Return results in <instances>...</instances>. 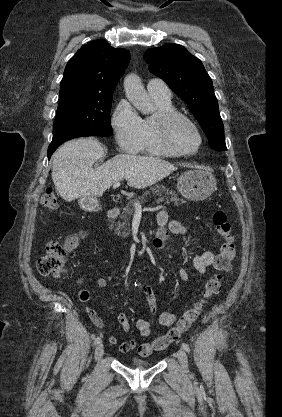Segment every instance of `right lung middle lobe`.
<instances>
[{
    "instance_id": "dd1d6c3e",
    "label": "right lung middle lobe",
    "mask_w": 282,
    "mask_h": 417,
    "mask_svg": "<svg viewBox=\"0 0 282 417\" xmlns=\"http://www.w3.org/2000/svg\"><path fill=\"white\" fill-rule=\"evenodd\" d=\"M112 98V93L94 91L60 93L53 137L73 131L110 136Z\"/></svg>"
}]
</instances>
